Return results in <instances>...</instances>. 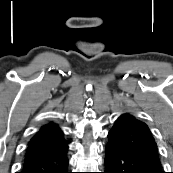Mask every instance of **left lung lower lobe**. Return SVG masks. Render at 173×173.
Wrapping results in <instances>:
<instances>
[{"instance_id": "0a47b994", "label": "left lung lower lobe", "mask_w": 173, "mask_h": 173, "mask_svg": "<svg viewBox=\"0 0 173 173\" xmlns=\"http://www.w3.org/2000/svg\"><path fill=\"white\" fill-rule=\"evenodd\" d=\"M104 173H164L159 159L109 143Z\"/></svg>"}]
</instances>
